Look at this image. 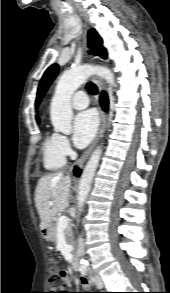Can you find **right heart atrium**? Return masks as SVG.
<instances>
[{
    "label": "right heart atrium",
    "mask_w": 170,
    "mask_h": 293,
    "mask_svg": "<svg viewBox=\"0 0 170 293\" xmlns=\"http://www.w3.org/2000/svg\"><path fill=\"white\" fill-rule=\"evenodd\" d=\"M57 146L58 149L60 150V152L64 155V156H68L71 153V145L69 143V140L67 139V137L57 134Z\"/></svg>",
    "instance_id": "d8ad5b80"
}]
</instances>
